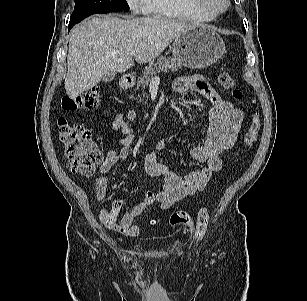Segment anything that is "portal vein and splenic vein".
I'll list each match as a JSON object with an SVG mask.
<instances>
[{"label": "portal vein and splenic vein", "instance_id": "portal-vein-and-splenic-vein-1", "mask_svg": "<svg viewBox=\"0 0 307 301\" xmlns=\"http://www.w3.org/2000/svg\"><path fill=\"white\" fill-rule=\"evenodd\" d=\"M131 56H133V55H135L136 54V51L135 50H133V51H130V53H129ZM154 79H157V80H159V77L158 76H155L154 77Z\"/></svg>", "mask_w": 307, "mask_h": 301}]
</instances>
